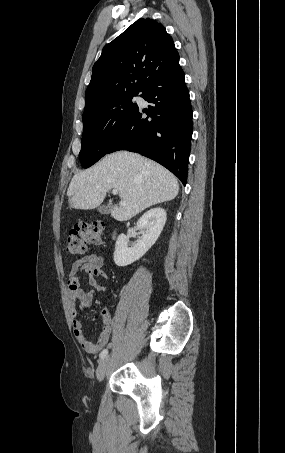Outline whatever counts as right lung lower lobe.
<instances>
[{"instance_id":"98d812e1","label":"right lung lower lobe","mask_w":285,"mask_h":453,"mask_svg":"<svg viewBox=\"0 0 285 453\" xmlns=\"http://www.w3.org/2000/svg\"><path fill=\"white\" fill-rule=\"evenodd\" d=\"M149 103L150 118L138 109L109 153L126 149L144 155L175 174L186 185L192 108L179 63L152 78L141 92Z\"/></svg>"}]
</instances>
